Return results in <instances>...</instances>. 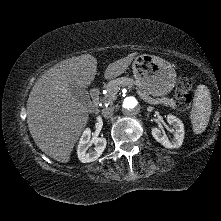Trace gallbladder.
Returning a JSON list of instances; mask_svg holds the SVG:
<instances>
[{
	"mask_svg": "<svg viewBox=\"0 0 221 221\" xmlns=\"http://www.w3.org/2000/svg\"><path fill=\"white\" fill-rule=\"evenodd\" d=\"M72 95L82 104L89 103V97L85 89L79 88L76 85H71Z\"/></svg>",
	"mask_w": 221,
	"mask_h": 221,
	"instance_id": "bac80fb5",
	"label": "gallbladder"
}]
</instances>
